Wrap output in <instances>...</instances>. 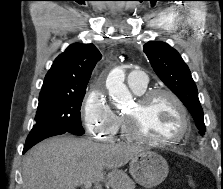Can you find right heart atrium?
I'll list each match as a JSON object with an SVG mask.
<instances>
[{"label": "right heart atrium", "mask_w": 223, "mask_h": 189, "mask_svg": "<svg viewBox=\"0 0 223 189\" xmlns=\"http://www.w3.org/2000/svg\"><path fill=\"white\" fill-rule=\"evenodd\" d=\"M81 115L89 134L102 141L112 140L118 129L119 118L103 91L95 87L87 93Z\"/></svg>", "instance_id": "d8ad5b80"}]
</instances>
